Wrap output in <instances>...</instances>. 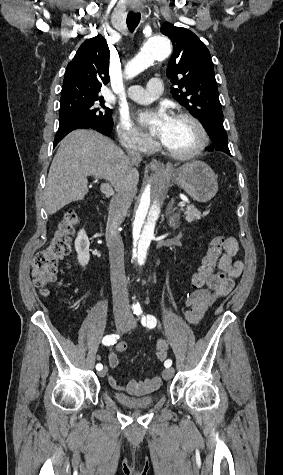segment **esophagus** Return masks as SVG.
I'll list each match as a JSON object with an SVG mask.
<instances>
[{
	"mask_svg": "<svg viewBox=\"0 0 283 475\" xmlns=\"http://www.w3.org/2000/svg\"><path fill=\"white\" fill-rule=\"evenodd\" d=\"M150 167L155 169V170H164L165 169V166L163 165V163L159 162L158 160H156L155 158H153L151 161H150Z\"/></svg>",
	"mask_w": 283,
	"mask_h": 475,
	"instance_id": "esophagus-1",
	"label": "esophagus"
}]
</instances>
